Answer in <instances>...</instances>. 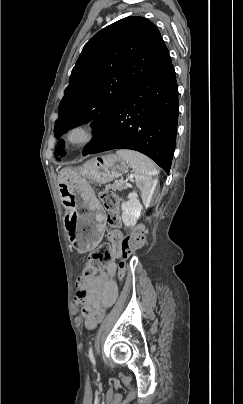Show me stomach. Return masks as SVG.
Returning a JSON list of instances; mask_svg holds the SVG:
<instances>
[{
  "instance_id": "obj_1",
  "label": "stomach",
  "mask_w": 243,
  "mask_h": 404,
  "mask_svg": "<svg viewBox=\"0 0 243 404\" xmlns=\"http://www.w3.org/2000/svg\"><path fill=\"white\" fill-rule=\"evenodd\" d=\"M126 161L115 154L97 156L79 168H64L59 174L60 194L67 208L64 226L78 252L93 250L105 231V212L88 181L106 184L126 171Z\"/></svg>"
}]
</instances>
